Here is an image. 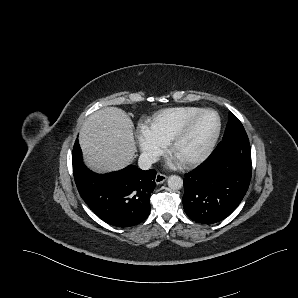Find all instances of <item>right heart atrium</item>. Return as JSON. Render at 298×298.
<instances>
[{
	"instance_id": "1",
	"label": "right heart atrium",
	"mask_w": 298,
	"mask_h": 298,
	"mask_svg": "<svg viewBox=\"0 0 298 298\" xmlns=\"http://www.w3.org/2000/svg\"><path fill=\"white\" fill-rule=\"evenodd\" d=\"M141 157L145 162H153L165 152L161 134L149 125H142L136 131Z\"/></svg>"
}]
</instances>
